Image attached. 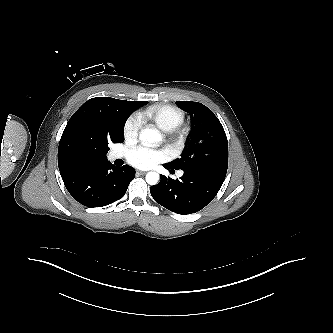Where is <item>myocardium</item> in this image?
<instances>
[{
    "label": "myocardium",
    "instance_id": "1",
    "mask_svg": "<svg viewBox=\"0 0 333 333\" xmlns=\"http://www.w3.org/2000/svg\"><path fill=\"white\" fill-rule=\"evenodd\" d=\"M186 134V130L180 126L167 131L166 137L170 140V147L174 150L180 149L185 143Z\"/></svg>",
    "mask_w": 333,
    "mask_h": 333
}]
</instances>
